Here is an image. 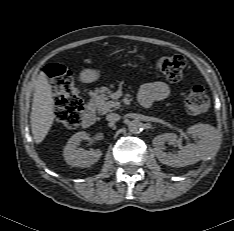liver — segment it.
I'll return each instance as SVG.
<instances>
[{
    "instance_id": "6515ba94",
    "label": "liver",
    "mask_w": 234,
    "mask_h": 231,
    "mask_svg": "<svg viewBox=\"0 0 234 231\" xmlns=\"http://www.w3.org/2000/svg\"><path fill=\"white\" fill-rule=\"evenodd\" d=\"M34 89L30 121L34 141L39 144L48 134L55 119L52 89L44 72L38 75Z\"/></svg>"
}]
</instances>
